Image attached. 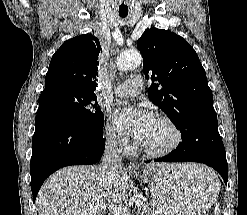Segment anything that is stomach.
Listing matches in <instances>:
<instances>
[{
    "label": "stomach",
    "mask_w": 247,
    "mask_h": 215,
    "mask_svg": "<svg viewBox=\"0 0 247 215\" xmlns=\"http://www.w3.org/2000/svg\"><path fill=\"white\" fill-rule=\"evenodd\" d=\"M184 164H167L150 177V190L162 215H202L216 199L219 181L213 172L197 166L195 173Z\"/></svg>",
    "instance_id": "obj_1"
}]
</instances>
